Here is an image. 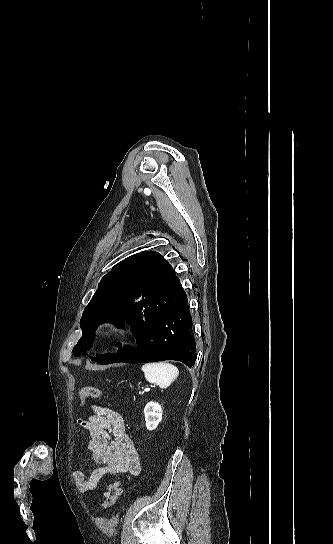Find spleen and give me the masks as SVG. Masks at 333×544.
Masks as SVG:
<instances>
[{
    "label": "spleen",
    "mask_w": 333,
    "mask_h": 544,
    "mask_svg": "<svg viewBox=\"0 0 333 544\" xmlns=\"http://www.w3.org/2000/svg\"><path fill=\"white\" fill-rule=\"evenodd\" d=\"M141 369L149 383H155L162 389L168 388L179 375L178 368L168 362L146 363Z\"/></svg>",
    "instance_id": "spleen-1"
}]
</instances>
